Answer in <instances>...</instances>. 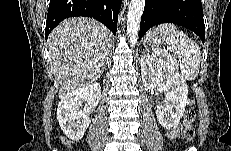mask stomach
Segmentation results:
<instances>
[{
    "label": "stomach",
    "mask_w": 231,
    "mask_h": 151,
    "mask_svg": "<svg viewBox=\"0 0 231 151\" xmlns=\"http://www.w3.org/2000/svg\"><path fill=\"white\" fill-rule=\"evenodd\" d=\"M164 43L162 42L161 36L155 30H150L144 38V46L146 49L161 48Z\"/></svg>",
    "instance_id": "obj_1"
}]
</instances>
